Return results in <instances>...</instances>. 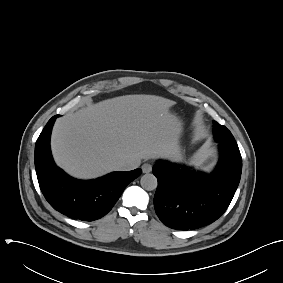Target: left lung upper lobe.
Wrapping results in <instances>:
<instances>
[{
  "label": "left lung upper lobe",
  "mask_w": 283,
  "mask_h": 283,
  "mask_svg": "<svg viewBox=\"0 0 283 283\" xmlns=\"http://www.w3.org/2000/svg\"><path fill=\"white\" fill-rule=\"evenodd\" d=\"M213 122L215 124L214 136H215L216 141H218L219 143L225 144L231 148L239 149L231 132L225 126L220 125L216 121H213Z\"/></svg>",
  "instance_id": "obj_1"
}]
</instances>
